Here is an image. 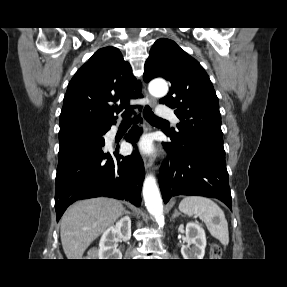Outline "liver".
Here are the masks:
<instances>
[{
  "label": "liver",
  "instance_id": "6515ba94",
  "mask_svg": "<svg viewBox=\"0 0 287 287\" xmlns=\"http://www.w3.org/2000/svg\"><path fill=\"white\" fill-rule=\"evenodd\" d=\"M123 212L122 203L110 198L82 200L71 205L62 217L60 229L67 259H81L88 246Z\"/></svg>",
  "mask_w": 287,
  "mask_h": 287
}]
</instances>
